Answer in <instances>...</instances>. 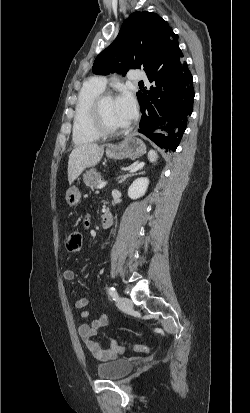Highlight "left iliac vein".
<instances>
[{"label": "left iliac vein", "mask_w": 250, "mask_h": 413, "mask_svg": "<svg viewBox=\"0 0 250 413\" xmlns=\"http://www.w3.org/2000/svg\"><path fill=\"white\" fill-rule=\"evenodd\" d=\"M116 304L120 309L125 310V311L130 310L133 307L132 301L126 297H119L116 300Z\"/></svg>", "instance_id": "left-iliac-vein-1"}]
</instances>
